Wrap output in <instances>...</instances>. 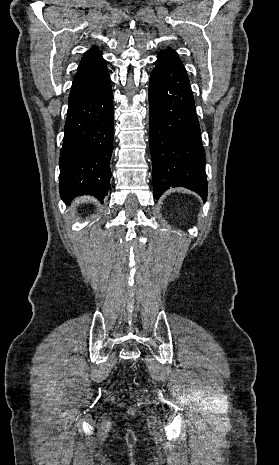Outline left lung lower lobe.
Returning a JSON list of instances; mask_svg holds the SVG:
<instances>
[{"label":"left lung lower lobe","instance_id":"0a47b994","mask_svg":"<svg viewBox=\"0 0 279 465\" xmlns=\"http://www.w3.org/2000/svg\"><path fill=\"white\" fill-rule=\"evenodd\" d=\"M149 83L154 198L180 186L206 200L205 152L189 79L177 53L158 54Z\"/></svg>","mask_w":279,"mask_h":465}]
</instances>
